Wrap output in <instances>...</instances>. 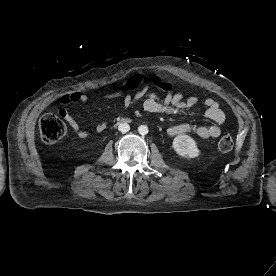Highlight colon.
Listing matches in <instances>:
<instances>
[{"label":"colon","mask_w":276,"mask_h":276,"mask_svg":"<svg viewBox=\"0 0 276 276\" xmlns=\"http://www.w3.org/2000/svg\"><path fill=\"white\" fill-rule=\"evenodd\" d=\"M143 81L142 77H134L128 82L129 88H135ZM152 84L161 88L166 93L171 92V87L162 83L158 79H153ZM42 140L47 144H53L64 137L67 131L65 122L55 113H45L39 123ZM234 146V140L231 135H225L218 141V149L221 152H229Z\"/></svg>","instance_id":"5ec220e1"}]
</instances>
